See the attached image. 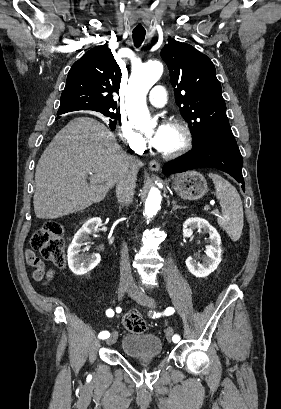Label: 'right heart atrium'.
Here are the masks:
<instances>
[{
	"mask_svg": "<svg viewBox=\"0 0 281 409\" xmlns=\"http://www.w3.org/2000/svg\"><path fill=\"white\" fill-rule=\"evenodd\" d=\"M128 119L120 126V136L122 142L135 152L145 149V143L138 135L139 125L143 115H127Z\"/></svg>",
	"mask_w": 281,
	"mask_h": 409,
	"instance_id": "obj_1",
	"label": "right heart atrium"
}]
</instances>
